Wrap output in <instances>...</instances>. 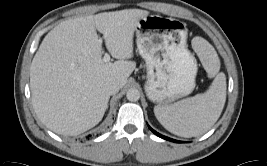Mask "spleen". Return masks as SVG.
<instances>
[{"instance_id":"obj_1","label":"spleen","mask_w":267,"mask_h":166,"mask_svg":"<svg viewBox=\"0 0 267 166\" xmlns=\"http://www.w3.org/2000/svg\"><path fill=\"white\" fill-rule=\"evenodd\" d=\"M197 52L208 73L216 75L209 89L171 105L154 107L160 124L169 132L185 138L207 132L220 117L226 101V77L218 73L220 62L214 48L203 42V47Z\"/></svg>"}]
</instances>
